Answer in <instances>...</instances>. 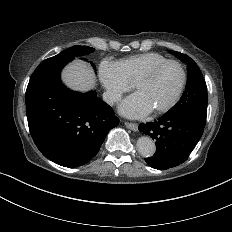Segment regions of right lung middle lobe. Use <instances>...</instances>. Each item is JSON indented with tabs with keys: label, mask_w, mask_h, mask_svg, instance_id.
<instances>
[{
	"label": "right lung middle lobe",
	"mask_w": 232,
	"mask_h": 232,
	"mask_svg": "<svg viewBox=\"0 0 232 232\" xmlns=\"http://www.w3.org/2000/svg\"><path fill=\"white\" fill-rule=\"evenodd\" d=\"M94 51V48L88 46H73L70 47L56 56H83Z\"/></svg>",
	"instance_id": "obj_1"
}]
</instances>
